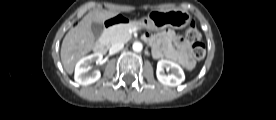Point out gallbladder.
<instances>
[{"instance_id": "gallbladder-1", "label": "gallbladder", "mask_w": 276, "mask_h": 120, "mask_svg": "<svg viewBox=\"0 0 276 120\" xmlns=\"http://www.w3.org/2000/svg\"><path fill=\"white\" fill-rule=\"evenodd\" d=\"M91 30L95 38H99L103 34V25L101 23H92Z\"/></svg>"}]
</instances>
